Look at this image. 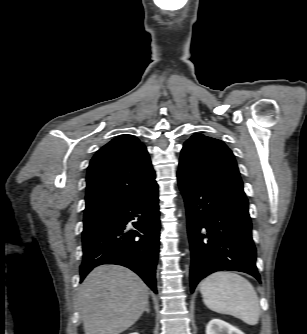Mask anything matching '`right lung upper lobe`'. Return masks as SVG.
<instances>
[{
    "label": "right lung upper lobe",
    "instance_id": "right-lung-upper-lobe-1",
    "mask_svg": "<svg viewBox=\"0 0 307 334\" xmlns=\"http://www.w3.org/2000/svg\"><path fill=\"white\" fill-rule=\"evenodd\" d=\"M84 217L108 214L155 183L146 147L121 135L103 146L87 171Z\"/></svg>",
    "mask_w": 307,
    "mask_h": 334
}]
</instances>
